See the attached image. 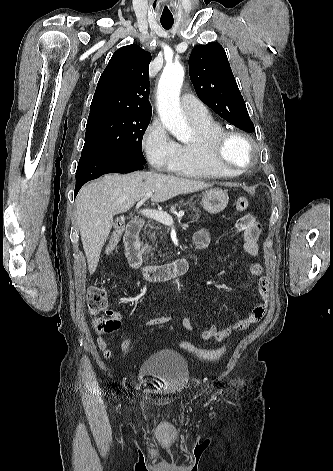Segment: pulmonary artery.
Masks as SVG:
<instances>
[{"instance_id": "obj_1", "label": "pulmonary artery", "mask_w": 333, "mask_h": 471, "mask_svg": "<svg viewBox=\"0 0 333 471\" xmlns=\"http://www.w3.org/2000/svg\"><path fill=\"white\" fill-rule=\"evenodd\" d=\"M181 104L189 119H200L208 115L206 106L191 94H184L181 98Z\"/></svg>"}]
</instances>
